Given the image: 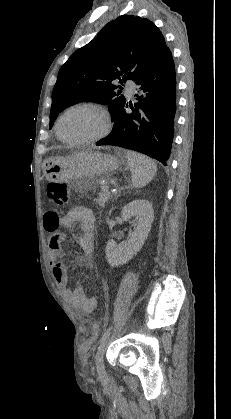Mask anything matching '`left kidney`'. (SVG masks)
Masks as SVG:
<instances>
[{"mask_svg": "<svg viewBox=\"0 0 231 419\" xmlns=\"http://www.w3.org/2000/svg\"><path fill=\"white\" fill-rule=\"evenodd\" d=\"M121 216L124 221L134 226V230L129 233L126 241L118 245L114 240L107 242L106 259L112 267L125 264L142 248L151 230L154 210L149 201L134 200L123 208Z\"/></svg>", "mask_w": 231, "mask_h": 419, "instance_id": "obj_1", "label": "left kidney"}]
</instances>
